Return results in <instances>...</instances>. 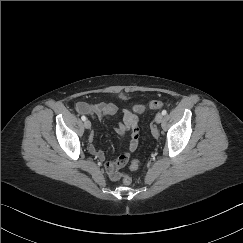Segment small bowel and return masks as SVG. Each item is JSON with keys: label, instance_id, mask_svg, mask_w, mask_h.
<instances>
[{"label": "small bowel", "instance_id": "1", "mask_svg": "<svg viewBox=\"0 0 243 243\" xmlns=\"http://www.w3.org/2000/svg\"><path fill=\"white\" fill-rule=\"evenodd\" d=\"M76 109L79 113L96 116L101 119L104 116L113 115L117 113L118 106L111 102H101L97 104H88L86 102H78ZM144 104H136L131 109L123 110V119L121 122H117L113 125L114 131L120 136H130L129 147L126 152L120 158L125 159V162L119 160H106L103 151L97 149L94 142V135L89 136L90 145L88 147L89 153L96 159L104 161V168L107 176L116 181L119 178V170L127 163L130 153L133 152L139 142L138 132V116L145 111Z\"/></svg>", "mask_w": 243, "mask_h": 243}]
</instances>
